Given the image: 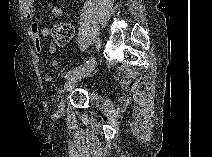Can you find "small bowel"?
<instances>
[{"label": "small bowel", "instance_id": "c3829d8e", "mask_svg": "<svg viewBox=\"0 0 212 157\" xmlns=\"http://www.w3.org/2000/svg\"><path fill=\"white\" fill-rule=\"evenodd\" d=\"M41 2L49 9L51 14L54 17H61L63 15V9L58 6L56 3H54L52 0H41ZM22 9L24 12V15L27 19L32 20L35 15V8L34 3L32 0H24L22 1ZM30 35L34 43V47L38 53L42 50V37H49L50 35V29L48 27L40 28L39 24L36 21H32L29 27ZM57 51V47L54 43H49L48 45V52L50 54H55ZM57 60L52 59L51 60V66H56ZM45 81L50 82L53 79L52 74H47L44 77Z\"/></svg>", "mask_w": 212, "mask_h": 157}]
</instances>
